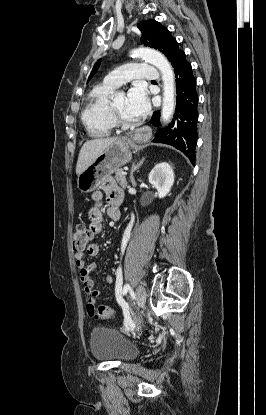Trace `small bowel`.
Masks as SVG:
<instances>
[{"mask_svg": "<svg viewBox=\"0 0 266 415\" xmlns=\"http://www.w3.org/2000/svg\"><path fill=\"white\" fill-rule=\"evenodd\" d=\"M104 196H106V200L109 204L107 208L108 216L113 220H119L121 218L120 207L124 200L123 191L113 180H106L102 183L101 190L95 191L91 195L93 206L89 210L88 220L89 228L93 233H99L102 230L103 214L101 205ZM98 253L99 246L92 243L89 244L85 250L76 251L74 254L75 265L79 269L80 280L86 294L87 311L89 314L95 308V302L99 296V291L95 289L94 281L91 278V273L96 269V264H86L85 256H96ZM107 281L110 283L112 277L108 276Z\"/></svg>", "mask_w": 266, "mask_h": 415, "instance_id": "small-bowel-1", "label": "small bowel"}]
</instances>
